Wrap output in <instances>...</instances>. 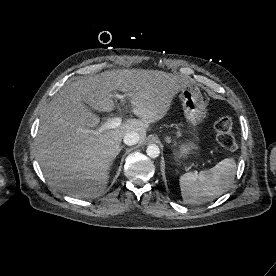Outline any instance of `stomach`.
Returning a JSON list of instances; mask_svg holds the SVG:
<instances>
[{"label":"stomach","instance_id":"1","mask_svg":"<svg viewBox=\"0 0 276 276\" xmlns=\"http://www.w3.org/2000/svg\"><path fill=\"white\" fill-rule=\"evenodd\" d=\"M186 119L194 126L201 124L207 116V108L200 89L194 85L185 86L179 95ZM199 146L195 140L177 146L176 155L187 159L196 155Z\"/></svg>","mask_w":276,"mask_h":276}]
</instances>
